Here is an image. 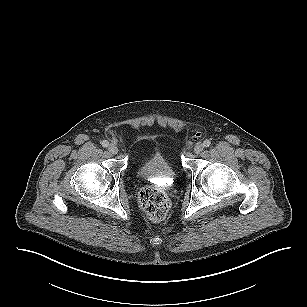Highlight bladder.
Masks as SVG:
<instances>
[{"mask_svg": "<svg viewBox=\"0 0 307 307\" xmlns=\"http://www.w3.org/2000/svg\"><path fill=\"white\" fill-rule=\"evenodd\" d=\"M136 173L139 178L144 180L175 177L173 168L170 166L165 156L159 152L150 155L139 163Z\"/></svg>", "mask_w": 307, "mask_h": 307, "instance_id": "31cf9c89", "label": "bladder"}]
</instances>
